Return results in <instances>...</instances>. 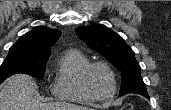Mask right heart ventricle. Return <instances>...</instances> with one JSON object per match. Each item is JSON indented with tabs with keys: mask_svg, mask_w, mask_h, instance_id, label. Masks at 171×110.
Segmentation results:
<instances>
[{
	"mask_svg": "<svg viewBox=\"0 0 171 110\" xmlns=\"http://www.w3.org/2000/svg\"><path fill=\"white\" fill-rule=\"evenodd\" d=\"M89 63V58L78 49L63 52L58 59L51 87L53 95L64 101L92 102L81 86V73Z\"/></svg>",
	"mask_w": 171,
	"mask_h": 110,
	"instance_id": "1",
	"label": "right heart ventricle"
}]
</instances>
